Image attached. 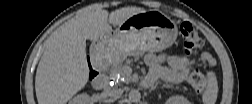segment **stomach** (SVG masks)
<instances>
[{
    "mask_svg": "<svg viewBox=\"0 0 252 104\" xmlns=\"http://www.w3.org/2000/svg\"><path fill=\"white\" fill-rule=\"evenodd\" d=\"M177 24L161 11L150 10L132 15L110 34L94 42L96 53L110 63L127 56L162 51L175 41Z\"/></svg>",
    "mask_w": 252,
    "mask_h": 104,
    "instance_id": "obj_1",
    "label": "stomach"
}]
</instances>
